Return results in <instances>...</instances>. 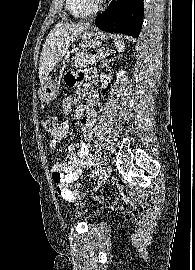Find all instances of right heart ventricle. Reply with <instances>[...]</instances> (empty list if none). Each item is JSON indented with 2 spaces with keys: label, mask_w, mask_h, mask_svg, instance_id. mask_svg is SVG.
I'll use <instances>...</instances> for the list:
<instances>
[{
  "label": "right heart ventricle",
  "mask_w": 195,
  "mask_h": 270,
  "mask_svg": "<svg viewBox=\"0 0 195 270\" xmlns=\"http://www.w3.org/2000/svg\"><path fill=\"white\" fill-rule=\"evenodd\" d=\"M69 13L76 18H84L95 12L93 6L86 0H66Z\"/></svg>",
  "instance_id": "e07e8e85"
}]
</instances>
